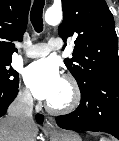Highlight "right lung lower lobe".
I'll list each match as a JSON object with an SVG mask.
<instances>
[{
    "label": "right lung lower lobe",
    "mask_w": 119,
    "mask_h": 141,
    "mask_svg": "<svg viewBox=\"0 0 119 141\" xmlns=\"http://www.w3.org/2000/svg\"><path fill=\"white\" fill-rule=\"evenodd\" d=\"M17 93H18V84L10 88L9 90L0 89V117H2L6 113L8 106L15 99ZM36 119L38 123H42L43 115L37 114Z\"/></svg>",
    "instance_id": "1"
}]
</instances>
